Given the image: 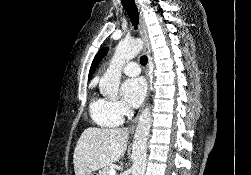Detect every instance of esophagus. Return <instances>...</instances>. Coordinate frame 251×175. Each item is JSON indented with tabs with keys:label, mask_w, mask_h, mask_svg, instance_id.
I'll return each mask as SVG.
<instances>
[{
	"label": "esophagus",
	"mask_w": 251,
	"mask_h": 175,
	"mask_svg": "<svg viewBox=\"0 0 251 175\" xmlns=\"http://www.w3.org/2000/svg\"><path fill=\"white\" fill-rule=\"evenodd\" d=\"M140 35H141L142 42H143V44H142L143 53L149 57L150 56V42H149V37H148V32H147V28L145 25L144 17L141 12H140ZM146 78H147V87L149 90L150 89V67H149V65L146 70ZM138 119H139V114L133 120L132 130H134Z\"/></svg>",
	"instance_id": "34e87169"
}]
</instances>
